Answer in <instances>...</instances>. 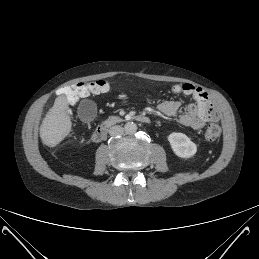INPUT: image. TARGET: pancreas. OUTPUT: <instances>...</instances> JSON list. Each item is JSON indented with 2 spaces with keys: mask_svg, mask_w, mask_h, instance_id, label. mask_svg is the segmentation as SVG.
I'll return each instance as SVG.
<instances>
[{
  "mask_svg": "<svg viewBox=\"0 0 259 259\" xmlns=\"http://www.w3.org/2000/svg\"><path fill=\"white\" fill-rule=\"evenodd\" d=\"M121 118L118 116H111L107 120L104 121V124L110 125V124H115L117 122H120Z\"/></svg>",
  "mask_w": 259,
  "mask_h": 259,
  "instance_id": "cf45deb5",
  "label": "pancreas"
}]
</instances>
